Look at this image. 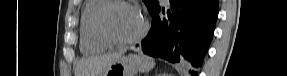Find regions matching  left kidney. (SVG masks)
I'll return each instance as SVG.
<instances>
[{
  "label": "left kidney",
  "mask_w": 287,
  "mask_h": 76,
  "mask_svg": "<svg viewBox=\"0 0 287 76\" xmlns=\"http://www.w3.org/2000/svg\"><path fill=\"white\" fill-rule=\"evenodd\" d=\"M159 76H167V74L163 73V74H159Z\"/></svg>",
  "instance_id": "obj_1"
}]
</instances>
